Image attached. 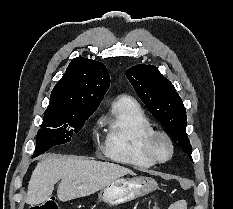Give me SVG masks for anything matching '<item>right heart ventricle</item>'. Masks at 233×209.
<instances>
[{
	"instance_id": "e07e8e85",
	"label": "right heart ventricle",
	"mask_w": 233,
	"mask_h": 209,
	"mask_svg": "<svg viewBox=\"0 0 233 209\" xmlns=\"http://www.w3.org/2000/svg\"><path fill=\"white\" fill-rule=\"evenodd\" d=\"M103 123L107 126L103 148L106 156L140 168H149L156 163L146 148L153 126L133 98L120 96L114 99Z\"/></svg>"
}]
</instances>
